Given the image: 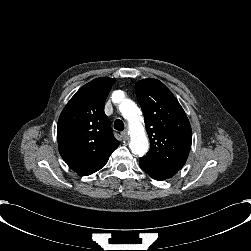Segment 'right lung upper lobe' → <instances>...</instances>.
Here are the masks:
<instances>
[{"mask_svg":"<svg viewBox=\"0 0 251 251\" xmlns=\"http://www.w3.org/2000/svg\"><path fill=\"white\" fill-rule=\"evenodd\" d=\"M115 79L102 77L82 86L58 120L59 152L68 166L82 176L107 163L120 142L113 135L104 104Z\"/></svg>","mask_w":251,"mask_h":251,"instance_id":"1","label":"right lung upper lobe"}]
</instances>
